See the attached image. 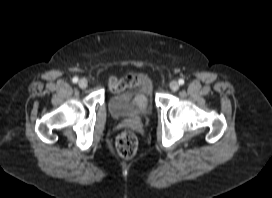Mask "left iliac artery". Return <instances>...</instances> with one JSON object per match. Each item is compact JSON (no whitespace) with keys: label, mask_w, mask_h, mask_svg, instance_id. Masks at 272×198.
I'll return each instance as SVG.
<instances>
[{"label":"left iliac artery","mask_w":272,"mask_h":198,"mask_svg":"<svg viewBox=\"0 0 272 198\" xmlns=\"http://www.w3.org/2000/svg\"><path fill=\"white\" fill-rule=\"evenodd\" d=\"M178 83H179L180 85H183V84H184V80H183V79H179Z\"/></svg>","instance_id":"left-iliac-artery-1"}]
</instances>
